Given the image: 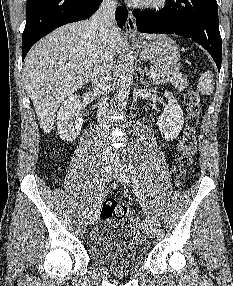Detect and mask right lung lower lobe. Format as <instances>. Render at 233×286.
<instances>
[{
  "label": "right lung lower lobe",
  "instance_id": "right-lung-lower-lobe-1",
  "mask_svg": "<svg viewBox=\"0 0 233 286\" xmlns=\"http://www.w3.org/2000/svg\"><path fill=\"white\" fill-rule=\"evenodd\" d=\"M103 0H27L26 25L22 35V60L29 49L52 30L92 16ZM128 17L117 7L115 19L122 28Z\"/></svg>",
  "mask_w": 233,
  "mask_h": 286
}]
</instances>
